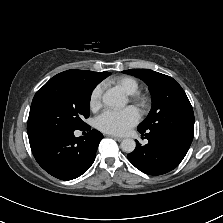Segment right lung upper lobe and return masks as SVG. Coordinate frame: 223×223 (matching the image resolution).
Listing matches in <instances>:
<instances>
[{
	"label": "right lung upper lobe",
	"mask_w": 223,
	"mask_h": 223,
	"mask_svg": "<svg viewBox=\"0 0 223 223\" xmlns=\"http://www.w3.org/2000/svg\"><path fill=\"white\" fill-rule=\"evenodd\" d=\"M110 72H93L88 70H67L55 75L52 80H65L71 82H93L98 84L108 77Z\"/></svg>",
	"instance_id": "obj_1"
}]
</instances>
